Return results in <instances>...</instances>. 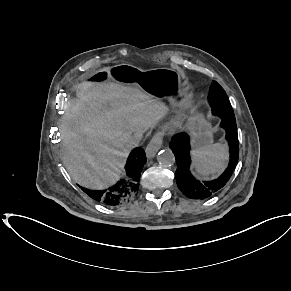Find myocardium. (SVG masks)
Returning a JSON list of instances; mask_svg holds the SVG:
<instances>
[{
    "label": "myocardium",
    "instance_id": "obj_1",
    "mask_svg": "<svg viewBox=\"0 0 291 291\" xmlns=\"http://www.w3.org/2000/svg\"><path fill=\"white\" fill-rule=\"evenodd\" d=\"M180 123V118H176L175 120L171 121L168 123L167 128L170 132L174 131L177 129Z\"/></svg>",
    "mask_w": 291,
    "mask_h": 291
}]
</instances>
